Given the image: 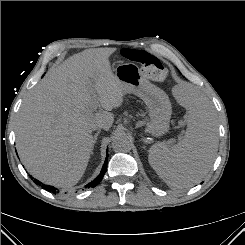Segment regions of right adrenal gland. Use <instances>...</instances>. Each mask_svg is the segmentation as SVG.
I'll return each mask as SVG.
<instances>
[{
	"instance_id": "obj_1",
	"label": "right adrenal gland",
	"mask_w": 245,
	"mask_h": 245,
	"mask_svg": "<svg viewBox=\"0 0 245 245\" xmlns=\"http://www.w3.org/2000/svg\"><path fill=\"white\" fill-rule=\"evenodd\" d=\"M99 133H100V130L97 131V132L95 133V135H94V140H93L94 145H95V143H96V141H97V137H98Z\"/></svg>"
}]
</instances>
